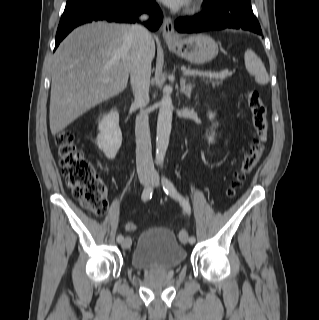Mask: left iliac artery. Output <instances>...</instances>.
<instances>
[{
  "label": "left iliac artery",
  "mask_w": 319,
  "mask_h": 320,
  "mask_svg": "<svg viewBox=\"0 0 319 320\" xmlns=\"http://www.w3.org/2000/svg\"><path fill=\"white\" fill-rule=\"evenodd\" d=\"M162 184H163V189H164L165 193L167 195H170L172 198L178 200L180 202V204L182 205L184 211L186 213L190 214L191 207H190L189 202L177 192L173 183L170 180H168L165 176H162ZM181 233H183V231H181L180 234ZM188 241L190 244H193V243H195L196 240H195V237L191 236L188 238Z\"/></svg>",
  "instance_id": "44dca946"
}]
</instances>
